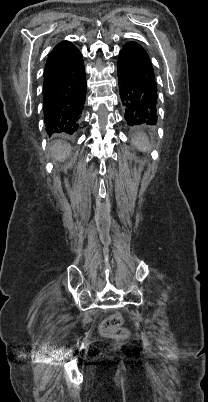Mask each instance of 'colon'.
<instances>
[{
    "label": "colon",
    "mask_w": 208,
    "mask_h": 402,
    "mask_svg": "<svg viewBox=\"0 0 208 402\" xmlns=\"http://www.w3.org/2000/svg\"><path fill=\"white\" fill-rule=\"evenodd\" d=\"M100 330L106 337L118 333H122L123 336L127 335L126 326L124 324H121L120 318H105L104 323L100 327Z\"/></svg>",
    "instance_id": "obj_1"
}]
</instances>
